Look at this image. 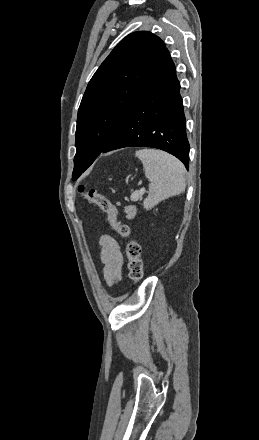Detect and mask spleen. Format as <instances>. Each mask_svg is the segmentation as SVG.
<instances>
[{
	"label": "spleen",
	"instance_id": "obj_1",
	"mask_svg": "<svg viewBox=\"0 0 259 440\" xmlns=\"http://www.w3.org/2000/svg\"><path fill=\"white\" fill-rule=\"evenodd\" d=\"M150 180L149 194L143 202L146 210L185 190V167L174 156L155 149H141L136 152Z\"/></svg>",
	"mask_w": 259,
	"mask_h": 440
}]
</instances>
